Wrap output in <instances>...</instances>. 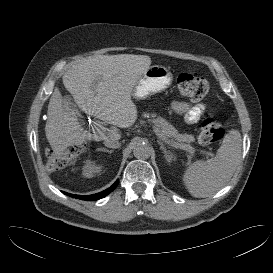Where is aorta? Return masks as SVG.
<instances>
[{
  "instance_id": "obj_1",
  "label": "aorta",
  "mask_w": 273,
  "mask_h": 273,
  "mask_svg": "<svg viewBox=\"0 0 273 273\" xmlns=\"http://www.w3.org/2000/svg\"><path fill=\"white\" fill-rule=\"evenodd\" d=\"M133 154L137 159H148L151 155V147L146 143H137L134 146Z\"/></svg>"
}]
</instances>
